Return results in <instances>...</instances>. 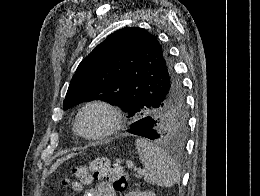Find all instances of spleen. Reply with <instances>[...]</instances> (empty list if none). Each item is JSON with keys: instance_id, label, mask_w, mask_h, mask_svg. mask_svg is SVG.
<instances>
[{"instance_id": "spleen-1", "label": "spleen", "mask_w": 260, "mask_h": 196, "mask_svg": "<svg viewBox=\"0 0 260 196\" xmlns=\"http://www.w3.org/2000/svg\"><path fill=\"white\" fill-rule=\"evenodd\" d=\"M135 146L139 160L147 170L144 174L145 182L154 186H165V188H170L178 182V166L163 148L152 144L145 138H137Z\"/></svg>"}]
</instances>
